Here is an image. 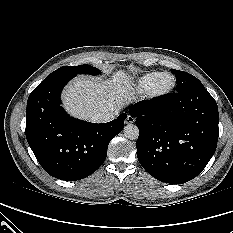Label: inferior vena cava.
<instances>
[{
	"label": "inferior vena cava",
	"mask_w": 233,
	"mask_h": 233,
	"mask_svg": "<svg viewBox=\"0 0 233 233\" xmlns=\"http://www.w3.org/2000/svg\"><path fill=\"white\" fill-rule=\"evenodd\" d=\"M117 113H97L94 116H92L91 121L95 123H104L109 122L115 118Z\"/></svg>",
	"instance_id": "inferior-vena-cava-1"
}]
</instances>
